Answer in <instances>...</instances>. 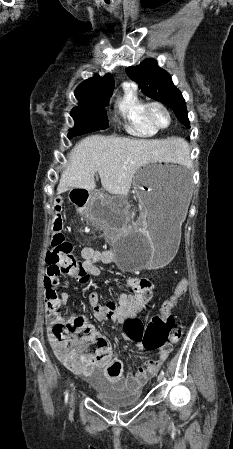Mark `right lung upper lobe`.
Returning <instances> with one entry per match:
<instances>
[{"label":"right lung upper lobe","instance_id":"obj_1","mask_svg":"<svg viewBox=\"0 0 233 449\" xmlns=\"http://www.w3.org/2000/svg\"><path fill=\"white\" fill-rule=\"evenodd\" d=\"M114 89V79L111 74L104 77L95 75L83 81L75 90L77 99H86L94 96H104L112 94Z\"/></svg>","mask_w":233,"mask_h":449}]
</instances>
